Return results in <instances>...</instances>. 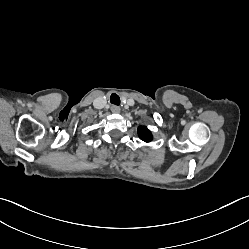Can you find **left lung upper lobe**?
Instances as JSON below:
<instances>
[{
    "label": "left lung upper lobe",
    "instance_id": "5c2ea615",
    "mask_svg": "<svg viewBox=\"0 0 249 249\" xmlns=\"http://www.w3.org/2000/svg\"><path fill=\"white\" fill-rule=\"evenodd\" d=\"M138 135L140 139H142L145 142H150L152 140L151 132L144 126H140L138 128Z\"/></svg>",
    "mask_w": 249,
    "mask_h": 249
}]
</instances>
